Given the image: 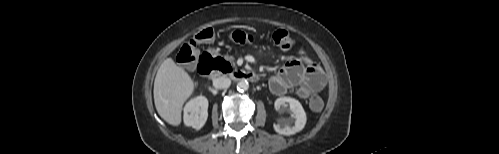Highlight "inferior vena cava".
Masks as SVG:
<instances>
[{
  "mask_svg": "<svg viewBox=\"0 0 499 154\" xmlns=\"http://www.w3.org/2000/svg\"><path fill=\"white\" fill-rule=\"evenodd\" d=\"M216 88L226 89L231 85V80L225 76L219 77L213 81Z\"/></svg>",
  "mask_w": 499,
  "mask_h": 154,
  "instance_id": "obj_1",
  "label": "inferior vena cava"
}]
</instances>
